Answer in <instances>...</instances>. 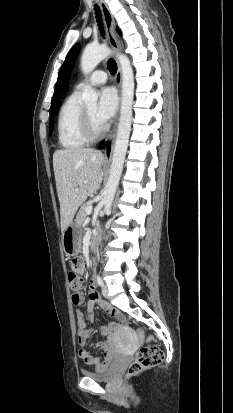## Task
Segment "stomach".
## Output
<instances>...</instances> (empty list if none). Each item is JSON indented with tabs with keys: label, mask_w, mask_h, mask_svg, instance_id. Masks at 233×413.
<instances>
[{
	"label": "stomach",
	"mask_w": 233,
	"mask_h": 413,
	"mask_svg": "<svg viewBox=\"0 0 233 413\" xmlns=\"http://www.w3.org/2000/svg\"><path fill=\"white\" fill-rule=\"evenodd\" d=\"M82 230L79 225L71 223L63 231L62 246L67 256L78 255L80 253V239Z\"/></svg>",
	"instance_id": "1"
}]
</instances>
